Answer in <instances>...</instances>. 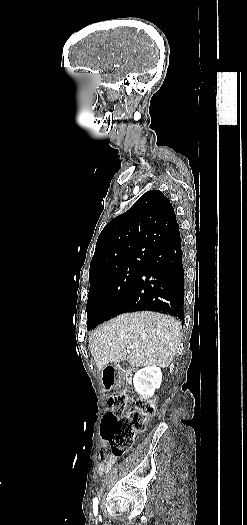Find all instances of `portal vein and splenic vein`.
I'll return each instance as SVG.
<instances>
[{
	"label": "portal vein and splenic vein",
	"mask_w": 247,
	"mask_h": 525,
	"mask_svg": "<svg viewBox=\"0 0 247 525\" xmlns=\"http://www.w3.org/2000/svg\"><path fill=\"white\" fill-rule=\"evenodd\" d=\"M110 345H111V343H110ZM129 349H133V345H130Z\"/></svg>",
	"instance_id": "obj_1"
}]
</instances>
